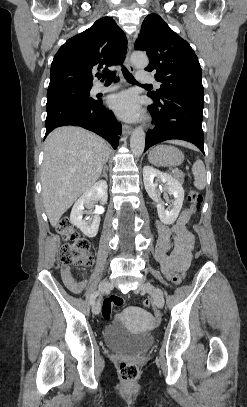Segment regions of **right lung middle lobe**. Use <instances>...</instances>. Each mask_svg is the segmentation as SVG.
Returning a JSON list of instances; mask_svg holds the SVG:
<instances>
[{
    "label": "right lung middle lobe",
    "mask_w": 247,
    "mask_h": 407,
    "mask_svg": "<svg viewBox=\"0 0 247 407\" xmlns=\"http://www.w3.org/2000/svg\"><path fill=\"white\" fill-rule=\"evenodd\" d=\"M91 87L65 86L47 91V108L67 103L89 104L96 100L90 97Z\"/></svg>",
    "instance_id": "right-lung-middle-lobe-1"
}]
</instances>
